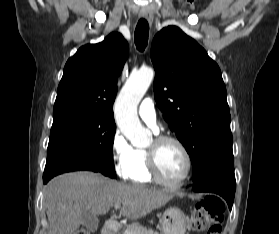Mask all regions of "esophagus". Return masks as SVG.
Listing matches in <instances>:
<instances>
[{
    "label": "esophagus",
    "instance_id": "obj_1",
    "mask_svg": "<svg viewBox=\"0 0 279 234\" xmlns=\"http://www.w3.org/2000/svg\"><path fill=\"white\" fill-rule=\"evenodd\" d=\"M141 17L146 19L149 24H152L153 22V15L149 12H141Z\"/></svg>",
    "mask_w": 279,
    "mask_h": 234
}]
</instances>
